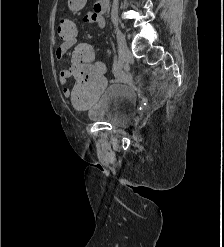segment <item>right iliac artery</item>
I'll list each match as a JSON object with an SVG mask.
<instances>
[{"label": "right iliac artery", "instance_id": "obj_1", "mask_svg": "<svg viewBox=\"0 0 224 247\" xmlns=\"http://www.w3.org/2000/svg\"><path fill=\"white\" fill-rule=\"evenodd\" d=\"M118 54H119L118 62H117L116 67H115V73L116 74H118L123 67V60H122L121 55H120V50H119Z\"/></svg>", "mask_w": 224, "mask_h": 247}]
</instances>
